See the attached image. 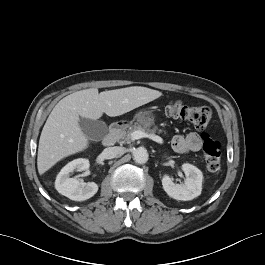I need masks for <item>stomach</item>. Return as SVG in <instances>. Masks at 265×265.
Segmentation results:
<instances>
[{"instance_id":"0dacf381","label":"stomach","mask_w":265,"mask_h":265,"mask_svg":"<svg viewBox=\"0 0 265 265\" xmlns=\"http://www.w3.org/2000/svg\"><path fill=\"white\" fill-rule=\"evenodd\" d=\"M154 114L149 110H141L136 113L135 120L144 127H149L154 123Z\"/></svg>"}]
</instances>
